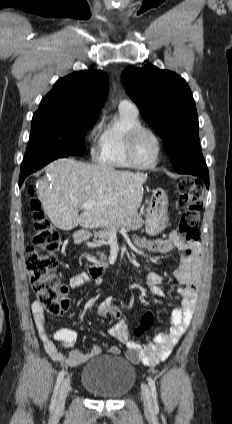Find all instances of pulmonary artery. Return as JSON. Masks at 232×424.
<instances>
[{"label": "pulmonary artery", "mask_w": 232, "mask_h": 424, "mask_svg": "<svg viewBox=\"0 0 232 424\" xmlns=\"http://www.w3.org/2000/svg\"><path fill=\"white\" fill-rule=\"evenodd\" d=\"M119 108L120 109H131V110L138 112V108L136 107V105L133 104L132 102L128 101V100H122L119 104Z\"/></svg>", "instance_id": "obj_1"}]
</instances>
